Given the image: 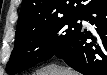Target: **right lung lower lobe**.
<instances>
[{
    "mask_svg": "<svg viewBox=\"0 0 107 75\" xmlns=\"http://www.w3.org/2000/svg\"><path fill=\"white\" fill-rule=\"evenodd\" d=\"M80 18L95 25L82 29L75 38L55 55L84 75H107V2L91 0Z\"/></svg>",
    "mask_w": 107,
    "mask_h": 75,
    "instance_id": "right-lung-lower-lobe-1",
    "label": "right lung lower lobe"
}]
</instances>
